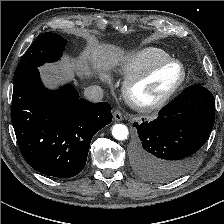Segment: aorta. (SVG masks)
<instances>
[{
  "label": "aorta",
  "instance_id": "1",
  "mask_svg": "<svg viewBox=\"0 0 224 224\" xmlns=\"http://www.w3.org/2000/svg\"><path fill=\"white\" fill-rule=\"evenodd\" d=\"M129 134L128 128L124 124H115L112 128V135L117 140L127 139Z\"/></svg>",
  "mask_w": 224,
  "mask_h": 224
}]
</instances>
